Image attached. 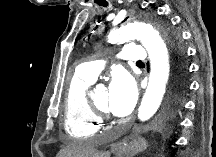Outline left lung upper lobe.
Here are the masks:
<instances>
[{"mask_svg":"<svg viewBox=\"0 0 216 157\" xmlns=\"http://www.w3.org/2000/svg\"><path fill=\"white\" fill-rule=\"evenodd\" d=\"M157 25L166 39L172 61L173 73L174 69H176L179 72L180 78L183 80L187 67L185 61V50L181 44L180 36L165 22H158Z\"/></svg>","mask_w":216,"mask_h":157,"instance_id":"5c2ea615","label":"left lung upper lobe"}]
</instances>
